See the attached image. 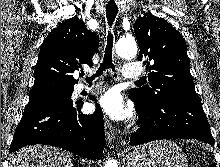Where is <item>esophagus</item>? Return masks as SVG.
<instances>
[{
	"label": "esophagus",
	"mask_w": 220,
	"mask_h": 167,
	"mask_svg": "<svg viewBox=\"0 0 220 167\" xmlns=\"http://www.w3.org/2000/svg\"><path fill=\"white\" fill-rule=\"evenodd\" d=\"M105 137L108 145H111L115 139V130L108 117H105Z\"/></svg>",
	"instance_id": "34e87169"
}]
</instances>
